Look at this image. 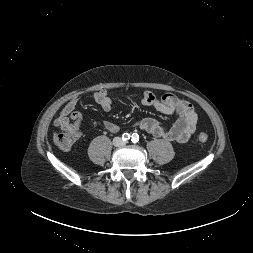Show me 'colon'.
Listing matches in <instances>:
<instances>
[{"label": "colon", "mask_w": 253, "mask_h": 253, "mask_svg": "<svg viewBox=\"0 0 253 253\" xmlns=\"http://www.w3.org/2000/svg\"><path fill=\"white\" fill-rule=\"evenodd\" d=\"M207 139H208V134L206 132H200L198 134V140L200 142H205L207 141ZM54 142L59 148L67 150L71 148L72 145L74 144V137L72 133L68 131H63V132L56 133L54 135Z\"/></svg>", "instance_id": "1"}]
</instances>
